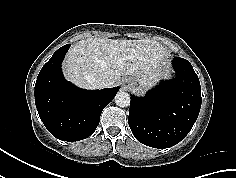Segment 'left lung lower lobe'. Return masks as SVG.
I'll return each mask as SVG.
<instances>
[{"label": "left lung lower lobe", "mask_w": 236, "mask_h": 178, "mask_svg": "<svg viewBox=\"0 0 236 178\" xmlns=\"http://www.w3.org/2000/svg\"><path fill=\"white\" fill-rule=\"evenodd\" d=\"M176 78L163 81L144 97L131 95L128 123L135 138L154 148L179 143L192 129L201 108V87L192 65L173 59Z\"/></svg>", "instance_id": "obj_1"}]
</instances>
